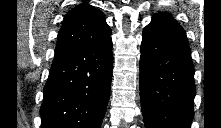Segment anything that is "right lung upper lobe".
<instances>
[{
  "label": "right lung upper lobe",
  "mask_w": 221,
  "mask_h": 128,
  "mask_svg": "<svg viewBox=\"0 0 221 128\" xmlns=\"http://www.w3.org/2000/svg\"><path fill=\"white\" fill-rule=\"evenodd\" d=\"M110 35L103 12L83 3L65 16L55 51L100 45Z\"/></svg>",
  "instance_id": "right-lung-upper-lobe-1"
}]
</instances>
